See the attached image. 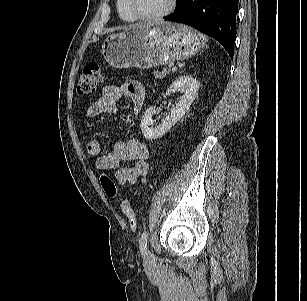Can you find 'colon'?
I'll use <instances>...</instances> for the list:
<instances>
[{"instance_id":"obj_1","label":"colon","mask_w":307,"mask_h":301,"mask_svg":"<svg viewBox=\"0 0 307 301\" xmlns=\"http://www.w3.org/2000/svg\"><path fill=\"white\" fill-rule=\"evenodd\" d=\"M102 81V70L99 64L91 62L85 65L83 73L80 76L77 84V92L81 96H90L94 94ZM101 185L107 196L111 198H118L120 206L131 226L136 228V215L130 202L124 196L119 194V191L111 179V177L103 173L101 175Z\"/></svg>"}]
</instances>
